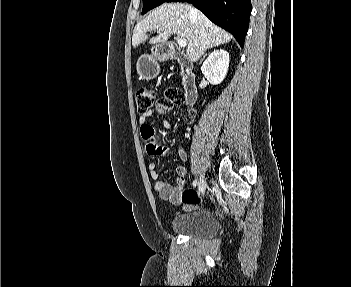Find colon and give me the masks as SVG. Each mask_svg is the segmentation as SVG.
<instances>
[{"mask_svg": "<svg viewBox=\"0 0 351 287\" xmlns=\"http://www.w3.org/2000/svg\"><path fill=\"white\" fill-rule=\"evenodd\" d=\"M184 100V93L178 88L167 89L164 98L157 101L155 100V92L150 88L140 87L135 92L136 106L140 113H145L154 107L158 114L164 115L167 114L174 105H182ZM186 120L192 122L193 118H186ZM181 199L185 205H192L198 201L196 192L191 189L185 190L182 193Z\"/></svg>", "mask_w": 351, "mask_h": 287, "instance_id": "5ec220e1", "label": "colon"}]
</instances>
